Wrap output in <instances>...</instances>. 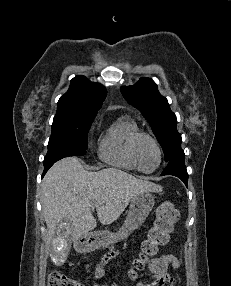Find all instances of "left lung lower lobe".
Here are the masks:
<instances>
[{
    "instance_id": "left-lung-lower-lobe-1",
    "label": "left lung lower lobe",
    "mask_w": 231,
    "mask_h": 286,
    "mask_svg": "<svg viewBox=\"0 0 231 286\" xmlns=\"http://www.w3.org/2000/svg\"><path fill=\"white\" fill-rule=\"evenodd\" d=\"M185 154L183 150L176 156H174L167 164V167L161 174L163 175H174L180 178L187 186L188 174L185 167Z\"/></svg>"
}]
</instances>
